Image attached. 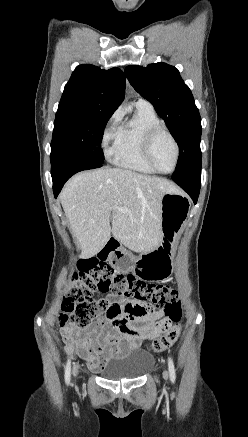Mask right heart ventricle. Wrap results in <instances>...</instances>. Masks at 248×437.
<instances>
[{"label":"right heart ventricle","mask_w":248,"mask_h":437,"mask_svg":"<svg viewBox=\"0 0 248 437\" xmlns=\"http://www.w3.org/2000/svg\"><path fill=\"white\" fill-rule=\"evenodd\" d=\"M161 125L153 108L136 106L132 119L119 126L118 136L111 150V158L119 167L143 174L156 173L143 156V140L146 132Z\"/></svg>","instance_id":"right-heart-ventricle-1"}]
</instances>
